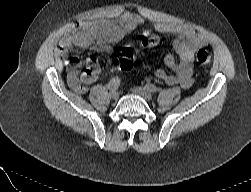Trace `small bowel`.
Wrapping results in <instances>:
<instances>
[{
    "mask_svg": "<svg viewBox=\"0 0 251 192\" xmlns=\"http://www.w3.org/2000/svg\"><path fill=\"white\" fill-rule=\"evenodd\" d=\"M139 23L137 16L128 14L116 23L104 22L66 35L61 40L60 48L65 56L70 88L78 94H84L86 86L98 79L101 70L97 59L90 55L86 59V68L81 72V60L70 55L73 47L110 54L113 52V44L131 32ZM154 29L173 38V49L178 55L175 57L167 54L164 58V63L171 73L160 68L155 70V76L166 85L179 84L182 88H190L193 84L192 59L197 48L206 45V38L192 27L184 25L158 23Z\"/></svg>",
    "mask_w": 251,
    "mask_h": 192,
    "instance_id": "c3829d8e",
    "label": "small bowel"
}]
</instances>
